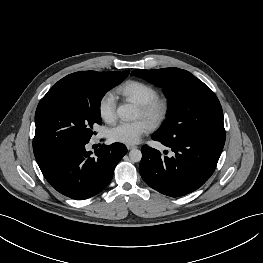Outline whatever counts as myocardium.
<instances>
[{"label": "myocardium", "mask_w": 263, "mask_h": 263, "mask_svg": "<svg viewBox=\"0 0 263 263\" xmlns=\"http://www.w3.org/2000/svg\"><path fill=\"white\" fill-rule=\"evenodd\" d=\"M138 108L144 119L152 126H158L167 117L170 109V102L167 97L157 95L148 102L139 104Z\"/></svg>", "instance_id": "obj_1"}]
</instances>
